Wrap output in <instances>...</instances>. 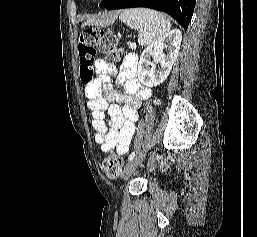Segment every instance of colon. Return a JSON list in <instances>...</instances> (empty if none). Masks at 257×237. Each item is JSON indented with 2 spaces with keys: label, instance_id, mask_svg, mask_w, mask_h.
Instances as JSON below:
<instances>
[{
  "label": "colon",
  "instance_id": "1",
  "mask_svg": "<svg viewBox=\"0 0 257 237\" xmlns=\"http://www.w3.org/2000/svg\"><path fill=\"white\" fill-rule=\"evenodd\" d=\"M78 53L80 76L82 81L86 82L93 76L97 54H104L108 62L115 64L122 54V49L118 47V37L115 33L90 27L79 37ZM102 169L108 178H118L122 172V158L115 154L108 155L103 159Z\"/></svg>",
  "mask_w": 257,
  "mask_h": 237
}]
</instances>
